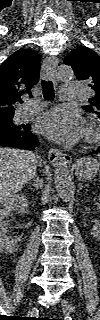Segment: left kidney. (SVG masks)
I'll return each mask as SVG.
<instances>
[{
	"label": "left kidney",
	"instance_id": "5707ae66",
	"mask_svg": "<svg viewBox=\"0 0 100 320\" xmlns=\"http://www.w3.org/2000/svg\"><path fill=\"white\" fill-rule=\"evenodd\" d=\"M92 234H93V237H95L96 239L100 238L99 226H97V225L93 226Z\"/></svg>",
	"mask_w": 100,
	"mask_h": 320
}]
</instances>
